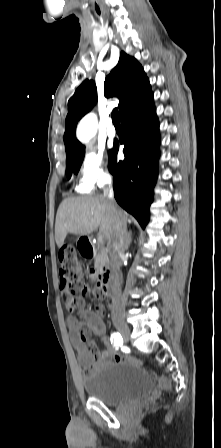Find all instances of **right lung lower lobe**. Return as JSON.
I'll list each match as a JSON object with an SVG mask.
<instances>
[{"label": "right lung lower lobe", "instance_id": "98d812e1", "mask_svg": "<svg viewBox=\"0 0 221 448\" xmlns=\"http://www.w3.org/2000/svg\"><path fill=\"white\" fill-rule=\"evenodd\" d=\"M120 119L123 128L120 144L125 146V159L117 160L118 145L109 152L114 196L118 204L145 228L157 179L160 144L153 93L126 111Z\"/></svg>", "mask_w": 221, "mask_h": 448}]
</instances>
